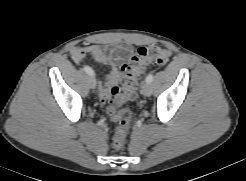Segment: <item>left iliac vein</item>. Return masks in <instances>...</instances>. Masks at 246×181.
Returning a JSON list of instances; mask_svg holds the SVG:
<instances>
[{
    "label": "left iliac vein",
    "instance_id": "4c4485c4",
    "mask_svg": "<svg viewBox=\"0 0 246 181\" xmlns=\"http://www.w3.org/2000/svg\"><path fill=\"white\" fill-rule=\"evenodd\" d=\"M152 93V87L150 85V83H143L141 85V94L144 95V96H150Z\"/></svg>",
    "mask_w": 246,
    "mask_h": 181
}]
</instances>
